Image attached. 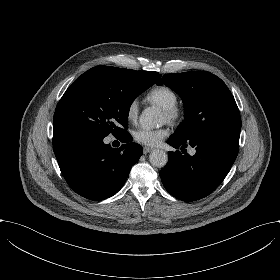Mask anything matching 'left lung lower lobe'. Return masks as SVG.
Masks as SVG:
<instances>
[{"mask_svg": "<svg viewBox=\"0 0 280 280\" xmlns=\"http://www.w3.org/2000/svg\"><path fill=\"white\" fill-rule=\"evenodd\" d=\"M240 130L215 131L188 140L171 136L174 148L189 144L194 156L180 151L169 152L166 166L160 171L165 189L177 199L191 202L211 194L231 169L239 150ZM186 151V150H185Z\"/></svg>", "mask_w": 280, "mask_h": 280, "instance_id": "0a47b994", "label": "left lung lower lobe"}]
</instances>
